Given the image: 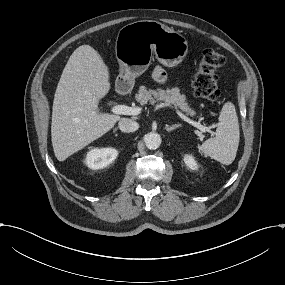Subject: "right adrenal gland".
<instances>
[{
  "label": "right adrenal gland",
  "instance_id": "obj_1",
  "mask_svg": "<svg viewBox=\"0 0 285 285\" xmlns=\"http://www.w3.org/2000/svg\"><path fill=\"white\" fill-rule=\"evenodd\" d=\"M118 127H115L114 129H113V133H116L117 131H118Z\"/></svg>",
  "mask_w": 285,
  "mask_h": 285
}]
</instances>
